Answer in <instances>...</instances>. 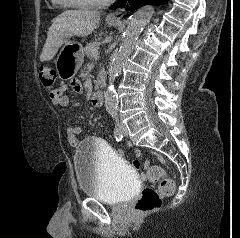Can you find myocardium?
<instances>
[{"label": "myocardium", "instance_id": "1", "mask_svg": "<svg viewBox=\"0 0 240 238\" xmlns=\"http://www.w3.org/2000/svg\"><path fill=\"white\" fill-rule=\"evenodd\" d=\"M114 0H103L98 2L77 1V0H61L68 7L77 8H100L109 5Z\"/></svg>", "mask_w": 240, "mask_h": 238}]
</instances>
